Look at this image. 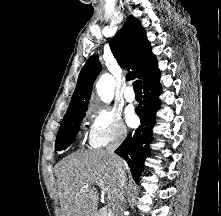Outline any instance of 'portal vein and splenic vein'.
<instances>
[{"label":"portal vein and splenic vein","instance_id":"portal-vein-and-splenic-vein-1","mask_svg":"<svg viewBox=\"0 0 221 216\" xmlns=\"http://www.w3.org/2000/svg\"><path fill=\"white\" fill-rule=\"evenodd\" d=\"M98 185H99V186H102V184H101V183H99ZM104 191H105V193L107 194V198H108V199H110V200H111V199H113V198H114V195H113V194H114V192H113V191H111V190H107V189H105Z\"/></svg>","mask_w":221,"mask_h":216}]
</instances>
